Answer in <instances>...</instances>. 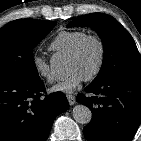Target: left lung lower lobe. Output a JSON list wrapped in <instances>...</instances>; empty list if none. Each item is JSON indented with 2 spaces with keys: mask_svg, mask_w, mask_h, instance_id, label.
<instances>
[{
  "mask_svg": "<svg viewBox=\"0 0 141 141\" xmlns=\"http://www.w3.org/2000/svg\"><path fill=\"white\" fill-rule=\"evenodd\" d=\"M77 102L89 107L91 122L84 128L88 141H131L141 123V75H121L91 83Z\"/></svg>",
  "mask_w": 141,
  "mask_h": 141,
  "instance_id": "left-lung-lower-lobe-1",
  "label": "left lung lower lobe"
}]
</instances>
